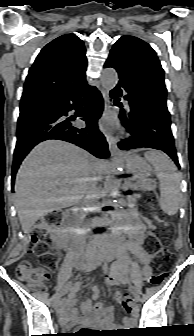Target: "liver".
<instances>
[{
  "instance_id": "1",
  "label": "liver",
  "mask_w": 194,
  "mask_h": 336,
  "mask_svg": "<svg viewBox=\"0 0 194 336\" xmlns=\"http://www.w3.org/2000/svg\"><path fill=\"white\" fill-rule=\"evenodd\" d=\"M107 162L60 140L38 144L22 162L16 177L15 206L22 230L28 234L37 220L80 201L88 180L101 174Z\"/></svg>"
}]
</instances>
